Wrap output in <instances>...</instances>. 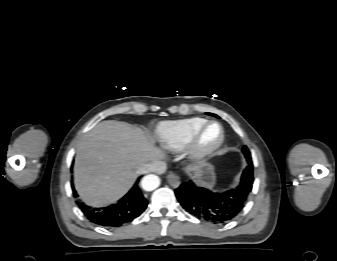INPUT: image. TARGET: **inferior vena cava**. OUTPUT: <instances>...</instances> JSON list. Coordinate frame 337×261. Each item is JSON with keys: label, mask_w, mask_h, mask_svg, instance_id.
<instances>
[{"label": "inferior vena cava", "mask_w": 337, "mask_h": 261, "mask_svg": "<svg viewBox=\"0 0 337 261\" xmlns=\"http://www.w3.org/2000/svg\"><path fill=\"white\" fill-rule=\"evenodd\" d=\"M166 169V164L163 161L157 160L145 164L141 167L140 173H149V172H164Z\"/></svg>", "instance_id": "obj_1"}]
</instances>
